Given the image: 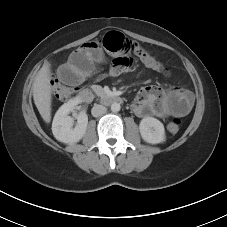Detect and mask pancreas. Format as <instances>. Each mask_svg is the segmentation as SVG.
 I'll return each instance as SVG.
<instances>
[{"instance_id":"cf45deb5","label":"pancreas","mask_w":227,"mask_h":227,"mask_svg":"<svg viewBox=\"0 0 227 227\" xmlns=\"http://www.w3.org/2000/svg\"><path fill=\"white\" fill-rule=\"evenodd\" d=\"M94 91H95V93L98 95V96H102L103 95V90H102V88H97V87H95L94 88Z\"/></svg>"}]
</instances>
